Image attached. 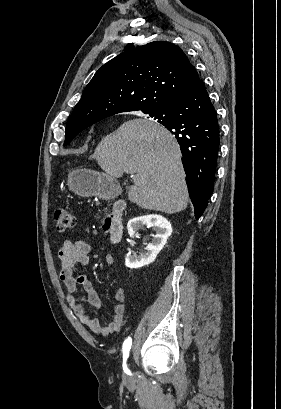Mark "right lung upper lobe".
<instances>
[{
	"label": "right lung upper lobe",
	"mask_w": 281,
	"mask_h": 409,
	"mask_svg": "<svg viewBox=\"0 0 281 409\" xmlns=\"http://www.w3.org/2000/svg\"><path fill=\"white\" fill-rule=\"evenodd\" d=\"M200 82L178 46L155 41L132 47L96 72L66 127L89 126L121 112L149 113L188 95Z\"/></svg>",
	"instance_id": "obj_1"
}]
</instances>
